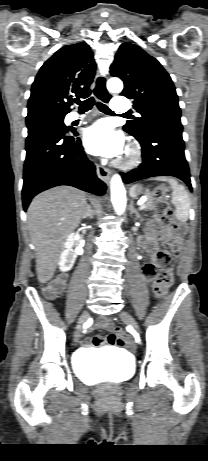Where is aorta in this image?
<instances>
[{
    "mask_svg": "<svg viewBox=\"0 0 208 461\" xmlns=\"http://www.w3.org/2000/svg\"><path fill=\"white\" fill-rule=\"evenodd\" d=\"M107 89L111 93H120L123 83L118 78H111L107 82ZM111 201L118 215H122L126 208V191L120 175L114 174L111 178Z\"/></svg>",
    "mask_w": 208,
    "mask_h": 461,
    "instance_id": "obj_1",
    "label": "aorta"
}]
</instances>
